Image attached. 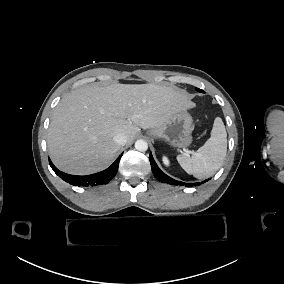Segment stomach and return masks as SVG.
<instances>
[{
	"mask_svg": "<svg viewBox=\"0 0 284 284\" xmlns=\"http://www.w3.org/2000/svg\"><path fill=\"white\" fill-rule=\"evenodd\" d=\"M193 129L192 117L187 111H181L164 125L150 129L148 135L175 149L185 150L193 143Z\"/></svg>",
	"mask_w": 284,
	"mask_h": 284,
	"instance_id": "0dacf381",
	"label": "stomach"
}]
</instances>
